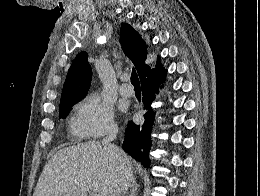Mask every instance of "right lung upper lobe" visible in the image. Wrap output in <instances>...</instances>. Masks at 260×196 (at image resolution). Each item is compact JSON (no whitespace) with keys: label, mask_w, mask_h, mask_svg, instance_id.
I'll use <instances>...</instances> for the list:
<instances>
[{"label":"right lung upper lobe","mask_w":260,"mask_h":196,"mask_svg":"<svg viewBox=\"0 0 260 196\" xmlns=\"http://www.w3.org/2000/svg\"><path fill=\"white\" fill-rule=\"evenodd\" d=\"M120 44L126 56L134 64L141 83L147 79L159 77L165 72L160 62L157 63L156 69H150L145 64L148 54L145 41L127 23H121ZM91 77L92 71L87 61V53L81 52L74 59L68 71L63 86L59 110L76 100L82 99L87 94L91 84Z\"/></svg>","instance_id":"cb5924a9"}]
</instances>
